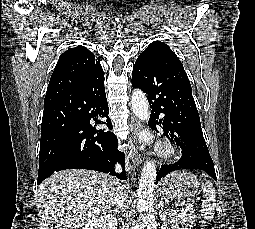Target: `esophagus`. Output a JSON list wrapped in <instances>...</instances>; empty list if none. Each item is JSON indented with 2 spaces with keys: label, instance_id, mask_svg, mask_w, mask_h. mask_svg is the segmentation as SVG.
<instances>
[{
  "label": "esophagus",
  "instance_id": "34e87169",
  "mask_svg": "<svg viewBox=\"0 0 255 229\" xmlns=\"http://www.w3.org/2000/svg\"><path fill=\"white\" fill-rule=\"evenodd\" d=\"M141 129L140 121L134 116L131 117V131H132V149L130 152V157L132 159L133 164L140 165L142 163V154L140 152V148L137 144L136 138L134 134Z\"/></svg>",
  "mask_w": 255,
  "mask_h": 229
}]
</instances>
